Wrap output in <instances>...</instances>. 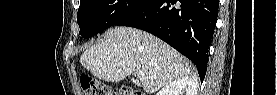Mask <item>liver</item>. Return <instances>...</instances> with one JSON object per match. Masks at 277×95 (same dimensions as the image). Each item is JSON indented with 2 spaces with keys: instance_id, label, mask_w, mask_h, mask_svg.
I'll return each instance as SVG.
<instances>
[{
  "instance_id": "liver-1",
  "label": "liver",
  "mask_w": 277,
  "mask_h": 95,
  "mask_svg": "<svg viewBox=\"0 0 277 95\" xmlns=\"http://www.w3.org/2000/svg\"><path fill=\"white\" fill-rule=\"evenodd\" d=\"M80 62L93 76L107 82L142 72L140 81H131L150 94L177 79H196L195 68L183 55L152 34L130 27L107 30L100 42L82 53Z\"/></svg>"
}]
</instances>
